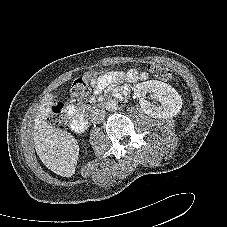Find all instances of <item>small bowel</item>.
Segmentation results:
<instances>
[{
    "label": "small bowel",
    "mask_w": 227,
    "mask_h": 227,
    "mask_svg": "<svg viewBox=\"0 0 227 227\" xmlns=\"http://www.w3.org/2000/svg\"><path fill=\"white\" fill-rule=\"evenodd\" d=\"M148 76L145 72L138 73L135 70H131L127 73H115L106 75L102 78L95 79L92 81L91 85L94 90H100L103 86H105L108 82L112 81H126V80H144Z\"/></svg>",
    "instance_id": "1"
}]
</instances>
